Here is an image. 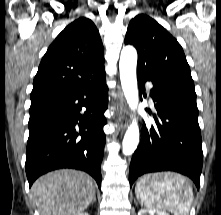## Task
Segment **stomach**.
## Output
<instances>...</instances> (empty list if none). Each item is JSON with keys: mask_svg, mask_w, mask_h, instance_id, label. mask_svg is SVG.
I'll use <instances>...</instances> for the list:
<instances>
[{"mask_svg": "<svg viewBox=\"0 0 221 215\" xmlns=\"http://www.w3.org/2000/svg\"><path fill=\"white\" fill-rule=\"evenodd\" d=\"M165 173H159V174H154V175H148L145 176V178L148 180V182L152 181V178L154 179V182H157L163 178Z\"/></svg>", "mask_w": 221, "mask_h": 215, "instance_id": "stomach-1", "label": "stomach"}]
</instances>
